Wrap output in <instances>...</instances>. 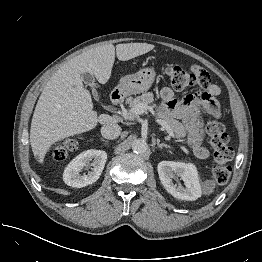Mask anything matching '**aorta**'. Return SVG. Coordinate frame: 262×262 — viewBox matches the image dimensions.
I'll return each mask as SVG.
<instances>
[{"label": "aorta", "mask_w": 262, "mask_h": 262, "mask_svg": "<svg viewBox=\"0 0 262 262\" xmlns=\"http://www.w3.org/2000/svg\"><path fill=\"white\" fill-rule=\"evenodd\" d=\"M132 149L137 154H143L148 150V144L144 139H136L132 144Z\"/></svg>", "instance_id": "1"}]
</instances>
